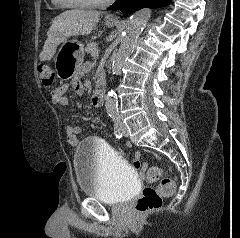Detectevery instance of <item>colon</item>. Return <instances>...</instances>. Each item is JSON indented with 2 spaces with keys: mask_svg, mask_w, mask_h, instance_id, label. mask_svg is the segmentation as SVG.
<instances>
[{
  "mask_svg": "<svg viewBox=\"0 0 240 238\" xmlns=\"http://www.w3.org/2000/svg\"><path fill=\"white\" fill-rule=\"evenodd\" d=\"M38 75L43 85L51 86L55 80L53 69L47 64L38 66ZM162 171L158 167L148 168L146 178L149 182H155L160 179L156 188L146 187L142 190L135 204L137 214H146L152 212L162 205V199L169 197L174 193V181L167 177H162Z\"/></svg>",
  "mask_w": 240,
  "mask_h": 238,
  "instance_id": "obj_1",
  "label": "colon"
}]
</instances>
